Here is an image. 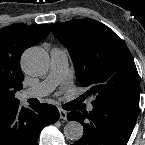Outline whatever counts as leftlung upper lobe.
<instances>
[{
	"label": "left lung upper lobe",
	"instance_id": "obj_1",
	"mask_svg": "<svg viewBox=\"0 0 145 145\" xmlns=\"http://www.w3.org/2000/svg\"><path fill=\"white\" fill-rule=\"evenodd\" d=\"M53 35L67 47L75 74L92 104L138 102L139 76L124 41L93 19L51 24Z\"/></svg>",
	"mask_w": 145,
	"mask_h": 145
}]
</instances>
